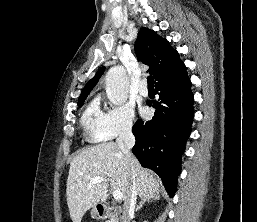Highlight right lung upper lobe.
Wrapping results in <instances>:
<instances>
[{
  "mask_svg": "<svg viewBox=\"0 0 257 222\" xmlns=\"http://www.w3.org/2000/svg\"><path fill=\"white\" fill-rule=\"evenodd\" d=\"M135 52L141 62L150 66L149 73L154 76L156 82L186 72V67L179 58L178 52L170 46L166 39L159 37L148 28H141L135 42ZM104 70V67L100 68L85 85L78 103L86 99Z\"/></svg>",
  "mask_w": 257,
  "mask_h": 222,
  "instance_id": "1",
  "label": "right lung upper lobe"
}]
</instances>
